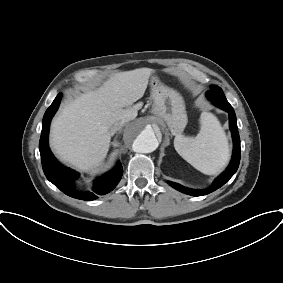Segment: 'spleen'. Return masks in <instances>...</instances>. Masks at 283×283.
I'll return each instance as SVG.
<instances>
[{
    "mask_svg": "<svg viewBox=\"0 0 283 283\" xmlns=\"http://www.w3.org/2000/svg\"><path fill=\"white\" fill-rule=\"evenodd\" d=\"M200 131L196 137L177 135V153L198 171L206 175L218 173L229 160V146L219 120L212 113L202 112Z\"/></svg>",
    "mask_w": 283,
    "mask_h": 283,
    "instance_id": "spleen-1",
    "label": "spleen"
}]
</instances>
